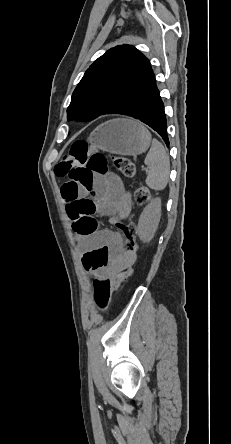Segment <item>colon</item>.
<instances>
[{
  "instance_id": "colon-1",
  "label": "colon",
  "mask_w": 231,
  "mask_h": 444,
  "mask_svg": "<svg viewBox=\"0 0 231 444\" xmlns=\"http://www.w3.org/2000/svg\"><path fill=\"white\" fill-rule=\"evenodd\" d=\"M115 168L128 178L137 176V168L134 162L126 156H114ZM107 159L100 152H92L85 141H76L67 155L55 166V174L60 178H69L75 187L90 188L96 175L107 172ZM150 198V190L147 186L139 184L135 191V202L138 205L146 203ZM95 204L89 199L75 201L70 206V216L74 224L73 230L80 236H90L97 231V220L94 217ZM119 230L124 238V249L127 254H135L137 251V229L133 222L119 223ZM134 262L127 264L115 274L96 279L93 284L94 298L100 309H107L114 293L123 281L133 273Z\"/></svg>"
}]
</instances>
